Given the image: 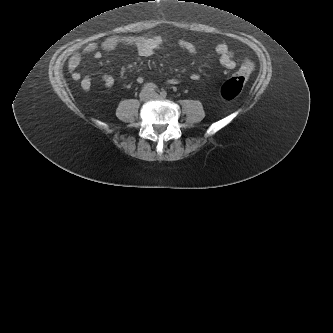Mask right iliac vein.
I'll return each mask as SVG.
<instances>
[{
	"label": "right iliac vein",
	"mask_w": 333,
	"mask_h": 333,
	"mask_svg": "<svg viewBox=\"0 0 333 333\" xmlns=\"http://www.w3.org/2000/svg\"><path fill=\"white\" fill-rule=\"evenodd\" d=\"M152 93L148 90H143L142 93L140 94V98L143 101H148L152 98Z\"/></svg>",
	"instance_id": "1"
}]
</instances>
